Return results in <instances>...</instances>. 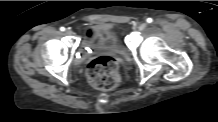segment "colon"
<instances>
[{"label":"colon","instance_id":"1","mask_svg":"<svg viewBox=\"0 0 218 122\" xmlns=\"http://www.w3.org/2000/svg\"><path fill=\"white\" fill-rule=\"evenodd\" d=\"M90 84L99 89H113L119 81V64L112 56H99L90 61L87 67Z\"/></svg>","mask_w":218,"mask_h":122}]
</instances>
